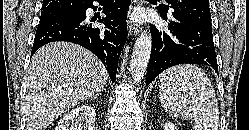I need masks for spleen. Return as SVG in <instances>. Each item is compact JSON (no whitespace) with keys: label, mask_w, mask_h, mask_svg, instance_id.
Wrapping results in <instances>:
<instances>
[{"label":"spleen","mask_w":249,"mask_h":130,"mask_svg":"<svg viewBox=\"0 0 249 130\" xmlns=\"http://www.w3.org/2000/svg\"><path fill=\"white\" fill-rule=\"evenodd\" d=\"M159 79L160 101L169 115L194 121L195 130H218L217 98L203 70L191 64L178 65L162 72Z\"/></svg>","instance_id":"spleen-1"}]
</instances>
